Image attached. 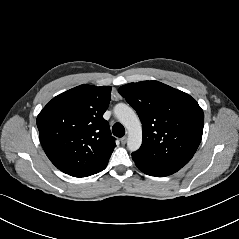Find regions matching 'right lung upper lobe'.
Returning a JSON list of instances; mask_svg holds the SVG:
<instances>
[{"label": "right lung upper lobe", "mask_w": 239, "mask_h": 239, "mask_svg": "<svg viewBox=\"0 0 239 239\" xmlns=\"http://www.w3.org/2000/svg\"><path fill=\"white\" fill-rule=\"evenodd\" d=\"M111 87L83 84L54 97L37 116L40 142L51 162L74 177L104 170L116 147L103 118Z\"/></svg>", "instance_id": "1"}]
</instances>
